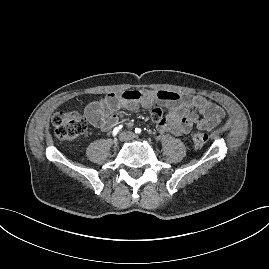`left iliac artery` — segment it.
Segmentation results:
<instances>
[{"label": "left iliac artery", "instance_id": "1", "mask_svg": "<svg viewBox=\"0 0 269 269\" xmlns=\"http://www.w3.org/2000/svg\"><path fill=\"white\" fill-rule=\"evenodd\" d=\"M141 131H142L141 128H135V133H136V134H140Z\"/></svg>", "mask_w": 269, "mask_h": 269}]
</instances>
